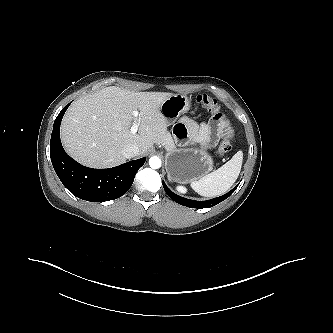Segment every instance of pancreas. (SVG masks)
<instances>
[{"instance_id": "cf45deb5", "label": "pancreas", "mask_w": 333, "mask_h": 333, "mask_svg": "<svg viewBox=\"0 0 333 333\" xmlns=\"http://www.w3.org/2000/svg\"><path fill=\"white\" fill-rule=\"evenodd\" d=\"M163 144L165 145V148L167 151H174L176 148L175 144H174V140L172 139V137L170 135H167L163 139Z\"/></svg>"}]
</instances>
